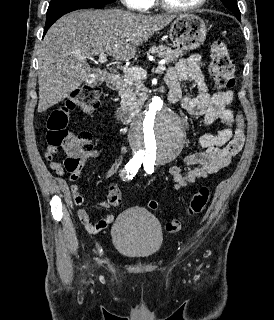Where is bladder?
Here are the masks:
<instances>
[{
    "label": "bladder",
    "mask_w": 274,
    "mask_h": 320,
    "mask_svg": "<svg viewBox=\"0 0 274 320\" xmlns=\"http://www.w3.org/2000/svg\"><path fill=\"white\" fill-rule=\"evenodd\" d=\"M112 239L119 253L137 260L157 254L164 240L158 220L143 208H129L119 214L112 226Z\"/></svg>",
    "instance_id": "bladder-1"
}]
</instances>
